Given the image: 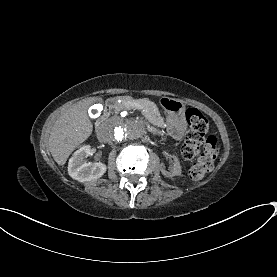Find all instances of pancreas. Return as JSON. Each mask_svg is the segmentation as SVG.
<instances>
[{
	"label": "pancreas",
	"mask_w": 277,
	"mask_h": 277,
	"mask_svg": "<svg viewBox=\"0 0 277 277\" xmlns=\"http://www.w3.org/2000/svg\"><path fill=\"white\" fill-rule=\"evenodd\" d=\"M137 108L145 114V121L153 125L155 128H160L163 125V120L159 115V107L151 103L147 98H140L138 101L134 96H126L122 99L120 96H109L104 100V108L110 115L124 112L126 109Z\"/></svg>",
	"instance_id": "cf45deb5"
}]
</instances>
